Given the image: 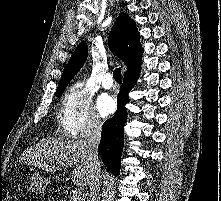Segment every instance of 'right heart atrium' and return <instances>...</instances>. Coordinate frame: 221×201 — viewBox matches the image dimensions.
Wrapping results in <instances>:
<instances>
[{
	"instance_id": "d8ad5b80",
	"label": "right heart atrium",
	"mask_w": 221,
	"mask_h": 201,
	"mask_svg": "<svg viewBox=\"0 0 221 201\" xmlns=\"http://www.w3.org/2000/svg\"><path fill=\"white\" fill-rule=\"evenodd\" d=\"M59 121L63 132L71 136L100 127L101 120L93 105L92 96L83 83L76 82L66 90Z\"/></svg>"
}]
</instances>
